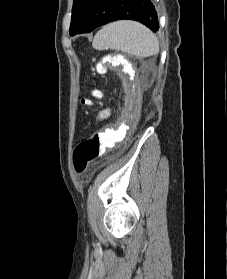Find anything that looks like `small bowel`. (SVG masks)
I'll use <instances>...</instances> for the list:
<instances>
[{
    "instance_id": "small-bowel-1",
    "label": "small bowel",
    "mask_w": 227,
    "mask_h": 279,
    "mask_svg": "<svg viewBox=\"0 0 227 279\" xmlns=\"http://www.w3.org/2000/svg\"><path fill=\"white\" fill-rule=\"evenodd\" d=\"M109 115V110H103L101 112H99L98 114V118L99 119H105L107 116Z\"/></svg>"
}]
</instances>
